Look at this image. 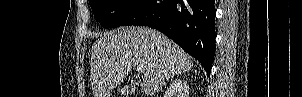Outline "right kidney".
I'll list each match as a JSON object with an SVG mask.
<instances>
[{"mask_svg":"<svg viewBox=\"0 0 302 97\" xmlns=\"http://www.w3.org/2000/svg\"><path fill=\"white\" fill-rule=\"evenodd\" d=\"M173 92H179L181 97H188L189 86L187 82L183 79H176L170 87V94H173Z\"/></svg>","mask_w":302,"mask_h":97,"instance_id":"obj_1","label":"right kidney"}]
</instances>
